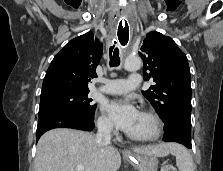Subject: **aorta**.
<instances>
[{
  "label": "aorta",
  "mask_w": 223,
  "mask_h": 171,
  "mask_svg": "<svg viewBox=\"0 0 223 171\" xmlns=\"http://www.w3.org/2000/svg\"><path fill=\"white\" fill-rule=\"evenodd\" d=\"M141 67V60L139 57H127L124 62V69L127 71H136Z\"/></svg>",
  "instance_id": "aorta-1"
}]
</instances>
